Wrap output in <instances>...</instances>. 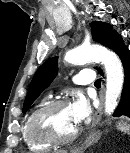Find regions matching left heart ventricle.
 I'll return each instance as SVG.
<instances>
[{"instance_id": "b2bd125f", "label": "left heart ventricle", "mask_w": 130, "mask_h": 153, "mask_svg": "<svg viewBox=\"0 0 130 153\" xmlns=\"http://www.w3.org/2000/svg\"><path fill=\"white\" fill-rule=\"evenodd\" d=\"M48 124L61 136L69 135L78 124L75 123L70 105L56 110L48 117Z\"/></svg>"}]
</instances>
